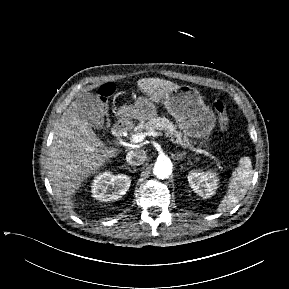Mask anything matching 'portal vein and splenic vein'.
<instances>
[{
  "label": "portal vein and splenic vein",
  "instance_id": "portal-vein-and-splenic-vein-1",
  "mask_svg": "<svg viewBox=\"0 0 289 289\" xmlns=\"http://www.w3.org/2000/svg\"><path fill=\"white\" fill-rule=\"evenodd\" d=\"M164 134L161 132H156V131H149L147 133H138V134H134L131 137V142L133 143H139L142 142L144 140V138L146 136H163ZM173 141V140H172ZM174 143L180 144L181 147L185 148V149H189L192 152H195L197 154H201L204 155L206 157H209L211 159H214L215 161L219 162V159L216 158L214 155L210 154L208 151L204 150V149H200V148H194L189 146L188 144H182V143H178L177 141H175Z\"/></svg>",
  "mask_w": 289,
  "mask_h": 289
}]
</instances>
